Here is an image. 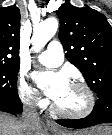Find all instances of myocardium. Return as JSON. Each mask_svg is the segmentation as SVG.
<instances>
[{
    "label": "myocardium",
    "instance_id": "myocardium-1",
    "mask_svg": "<svg viewBox=\"0 0 112 135\" xmlns=\"http://www.w3.org/2000/svg\"><path fill=\"white\" fill-rule=\"evenodd\" d=\"M74 86H77L79 88H81L86 96V105L85 107L78 111V112H70V111H66L62 108H60L56 102H53L52 104V109L53 111L65 118H69V119H83L88 117L94 110L95 108V97H94V93L91 90V88L84 82L82 81H73L71 83Z\"/></svg>",
    "mask_w": 112,
    "mask_h": 135
}]
</instances>
